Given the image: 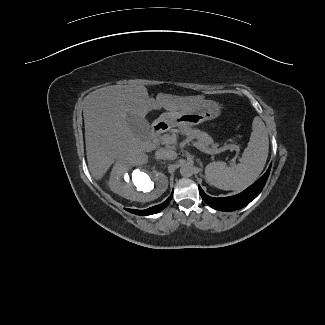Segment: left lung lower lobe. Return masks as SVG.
I'll return each instance as SVG.
<instances>
[{"mask_svg": "<svg viewBox=\"0 0 325 325\" xmlns=\"http://www.w3.org/2000/svg\"><path fill=\"white\" fill-rule=\"evenodd\" d=\"M270 169L271 165L261 178H259L250 187L237 195L223 198H214L206 195L202 188L199 186L200 195L209 206L216 210L230 212L240 209L248 205L259 195L268 179Z\"/></svg>", "mask_w": 325, "mask_h": 325, "instance_id": "obj_1", "label": "left lung lower lobe"}]
</instances>
